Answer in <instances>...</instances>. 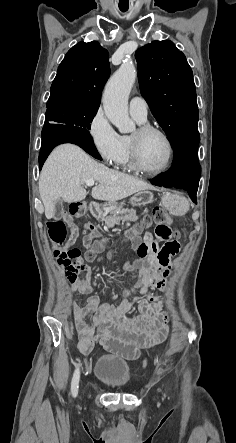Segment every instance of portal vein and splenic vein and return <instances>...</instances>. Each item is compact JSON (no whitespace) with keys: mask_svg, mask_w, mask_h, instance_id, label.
<instances>
[{"mask_svg":"<svg viewBox=\"0 0 236 443\" xmlns=\"http://www.w3.org/2000/svg\"><path fill=\"white\" fill-rule=\"evenodd\" d=\"M95 184V181L94 180H87L86 181V186H88V187H91V186H93Z\"/></svg>","mask_w":236,"mask_h":443,"instance_id":"18ae733b","label":"portal vein and splenic vein"}]
</instances>
